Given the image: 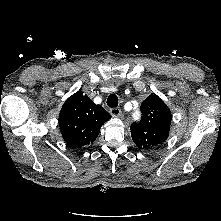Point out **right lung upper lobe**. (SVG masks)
I'll use <instances>...</instances> for the list:
<instances>
[{
	"instance_id": "right-lung-upper-lobe-1",
	"label": "right lung upper lobe",
	"mask_w": 221,
	"mask_h": 221,
	"mask_svg": "<svg viewBox=\"0 0 221 221\" xmlns=\"http://www.w3.org/2000/svg\"><path fill=\"white\" fill-rule=\"evenodd\" d=\"M110 118L111 115L104 108L78 91L62 106L59 127L69 146L82 147L95 141L101 126Z\"/></svg>"
}]
</instances>
